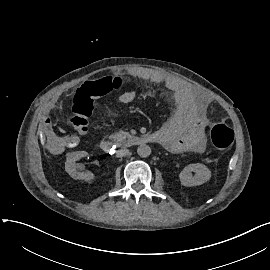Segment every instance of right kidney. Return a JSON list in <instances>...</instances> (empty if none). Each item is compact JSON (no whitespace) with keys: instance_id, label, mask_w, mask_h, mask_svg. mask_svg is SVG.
Instances as JSON below:
<instances>
[{"instance_id":"obj_1","label":"right kidney","mask_w":270,"mask_h":270,"mask_svg":"<svg viewBox=\"0 0 270 270\" xmlns=\"http://www.w3.org/2000/svg\"><path fill=\"white\" fill-rule=\"evenodd\" d=\"M86 155H87L86 151H77L73 153H68L66 155L67 159L65 163V168L72 178L89 182L95 178V175L92 173L80 172L82 166L76 163L77 159L85 157Z\"/></svg>"}]
</instances>
